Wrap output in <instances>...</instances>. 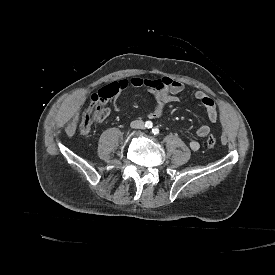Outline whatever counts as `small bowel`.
Here are the masks:
<instances>
[{"label": "small bowel", "mask_w": 275, "mask_h": 275, "mask_svg": "<svg viewBox=\"0 0 275 275\" xmlns=\"http://www.w3.org/2000/svg\"><path fill=\"white\" fill-rule=\"evenodd\" d=\"M128 84L135 88H144L152 94L155 103L150 112V116L153 118L160 117L163 114L164 108L167 104L175 103L179 101V94L184 90V85L180 81H177L168 77H164L159 81L133 78L129 82L127 80H120V81L105 85L99 90L98 93L93 95L92 99L93 100L97 99L99 94L105 93L113 85L118 86L119 92H120L125 87H127ZM194 97L205 108L208 120L211 123L217 122L219 114H218V108L215 100L201 90H197L194 93ZM114 109L119 110V107L116 103H114ZM81 124H82V119H81L80 125ZM210 132H211L210 126L207 124H203L198 127L196 134L197 136L204 138V137H207L210 134ZM190 146L191 148L196 150L199 147V143L196 140H192L190 142Z\"/></svg>", "instance_id": "obj_1"}]
</instances>
